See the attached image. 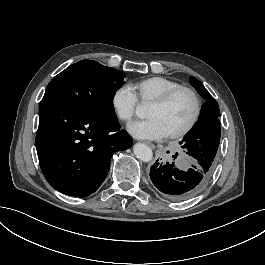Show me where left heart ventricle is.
<instances>
[{"mask_svg":"<svg viewBox=\"0 0 265 265\" xmlns=\"http://www.w3.org/2000/svg\"><path fill=\"white\" fill-rule=\"evenodd\" d=\"M193 109L194 105L190 96L180 94L163 108L149 105L146 117L157 119L168 134L185 127L191 119Z\"/></svg>","mask_w":265,"mask_h":265,"instance_id":"left-heart-ventricle-1","label":"left heart ventricle"}]
</instances>
